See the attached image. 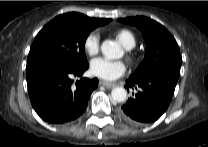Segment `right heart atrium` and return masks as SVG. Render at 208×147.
I'll return each instance as SVG.
<instances>
[{"mask_svg":"<svg viewBox=\"0 0 208 147\" xmlns=\"http://www.w3.org/2000/svg\"><path fill=\"white\" fill-rule=\"evenodd\" d=\"M84 49L90 56H93L99 52L100 37L97 32H91L86 36L84 40Z\"/></svg>","mask_w":208,"mask_h":147,"instance_id":"right-heart-atrium-1","label":"right heart atrium"}]
</instances>
